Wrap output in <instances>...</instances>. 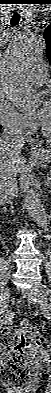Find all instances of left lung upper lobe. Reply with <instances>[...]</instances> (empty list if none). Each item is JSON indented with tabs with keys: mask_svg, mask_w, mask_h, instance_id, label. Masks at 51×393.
Listing matches in <instances>:
<instances>
[{
	"mask_svg": "<svg viewBox=\"0 0 51 393\" xmlns=\"http://www.w3.org/2000/svg\"><path fill=\"white\" fill-rule=\"evenodd\" d=\"M43 36H44L46 43H47V50H46L47 58L51 63V25H49L45 29Z\"/></svg>",
	"mask_w": 51,
	"mask_h": 393,
	"instance_id": "1",
	"label": "left lung upper lobe"
}]
</instances>
